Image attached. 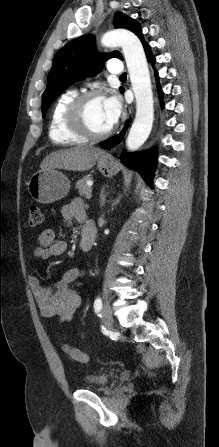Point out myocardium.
<instances>
[{
	"label": "myocardium",
	"instance_id": "f54148a6",
	"mask_svg": "<svg viewBox=\"0 0 219 447\" xmlns=\"http://www.w3.org/2000/svg\"><path fill=\"white\" fill-rule=\"evenodd\" d=\"M96 99H103V95L98 91L80 93L70 101L64 114L67 126L76 134L89 140H100L113 132L112 127L98 132L88 125L86 109L89 103Z\"/></svg>",
	"mask_w": 219,
	"mask_h": 447
}]
</instances>
